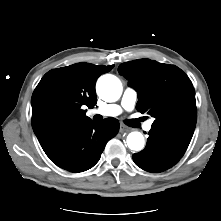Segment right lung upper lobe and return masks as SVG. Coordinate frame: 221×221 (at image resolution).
<instances>
[{"mask_svg":"<svg viewBox=\"0 0 221 221\" xmlns=\"http://www.w3.org/2000/svg\"><path fill=\"white\" fill-rule=\"evenodd\" d=\"M113 67L76 63L43 76L31 99L32 127L41 146L64 129L91 121L84 107L96 105V80Z\"/></svg>","mask_w":221,"mask_h":221,"instance_id":"right-lung-upper-lobe-1","label":"right lung upper lobe"}]
</instances>
